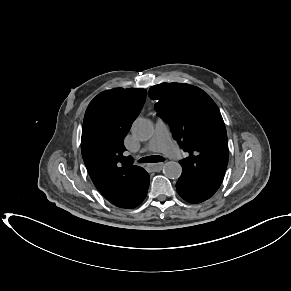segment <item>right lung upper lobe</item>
Here are the masks:
<instances>
[{
    "mask_svg": "<svg viewBox=\"0 0 291 291\" xmlns=\"http://www.w3.org/2000/svg\"><path fill=\"white\" fill-rule=\"evenodd\" d=\"M145 100L144 89L114 88L98 94L85 112L82 157L96 188L111 203L138 198L148 179L131 156H123V139Z\"/></svg>",
    "mask_w": 291,
    "mask_h": 291,
    "instance_id": "right-lung-upper-lobe-1",
    "label": "right lung upper lobe"
}]
</instances>
